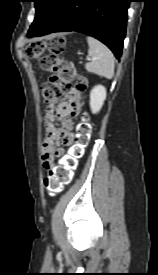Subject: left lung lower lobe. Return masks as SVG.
I'll return each instance as SVG.
<instances>
[{
	"instance_id": "obj_1",
	"label": "left lung lower lobe",
	"mask_w": 158,
	"mask_h": 275,
	"mask_svg": "<svg viewBox=\"0 0 158 275\" xmlns=\"http://www.w3.org/2000/svg\"><path fill=\"white\" fill-rule=\"evenodd\" d=\"M130 0H63L47 24L33 36L76 31L95 37L121 57ZM32 37V36H31Z\"/></svg>"
}]
</instances>
